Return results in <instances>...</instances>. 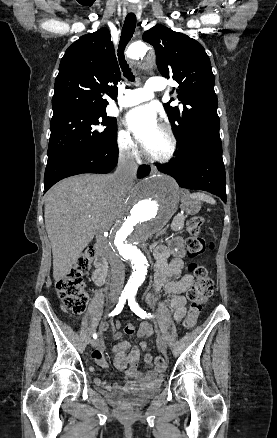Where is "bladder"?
Here are the masks:
<instances>
[{"label": "bladder", "instance_id": "1", "mask_svg": "<svg viewBox=\"0 0 277 438\" xmlns=\"http://www.w3.org/2000/svg\"><path fill=\"white\" fill-rule=\"evenodd\" d=\"M161 383L162 377L156 382H150L142 389L128 392H115L113 395L114 403L126 408H138L144 406L153 396H155Z\"/></svg>", "mask_w": 277, "mask_h": 438}]
</instances>
